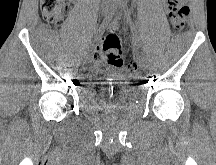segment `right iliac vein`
Segmentation results:
<instances>
[{
	"label": "right iliac vein",
	"mask_w": 216,
	"mask_h": 165,
	"mask_svg": "<svg viewBox=\"0 0 216 165\" xmlns=\"http://www.w3.org/2000/svg\"><path fill=\"white\" fill-rule=\"evenodd\" d=\"M90 63V60H89V55L87 57H84V63L82 64L84 67Z\"/></svg>",
	"instance_id": "1"
}]
</instances>
